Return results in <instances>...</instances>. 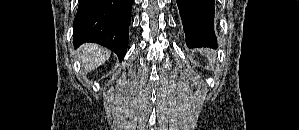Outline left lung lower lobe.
I'll list each match as a JSON object with an SVG mask.
<instances>
[{"label": "left lung lower lobe", "mask_w": 299, "mask_h": 130, "mask_svg": "<svg viewBox=\"0 0 299 130\" xmlns=\"http://www.w3.org/2000/svg\"><path fill=\"white\" fill-rule=\"evenodd\" d=\"M189 47H217L214 0H176Z\"/></svg>", "instance_id": "0a47b994"}]
</instances>
